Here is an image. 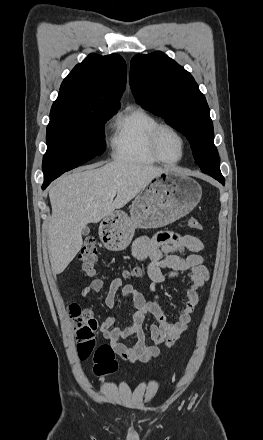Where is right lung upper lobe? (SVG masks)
Instances as JSON below:
<instances>
[{
    "instance_id": "right-lung-upper-lobe-1",
    "label": "right lung upper lobe",
    "mask_w": 263,
    "mask_h": 440,
    "mask_svg": "<svg viewBox=\"0 0 263 440\" xmlns=\"http://www.w3.org/2000/svg\"><path fill=\"white\" fill-rule=\"evenodd\" d=\"M126 63L118 54H90L63 80L50 118L117 112L125 89Z\"/></svg>"
}]
</instances>
